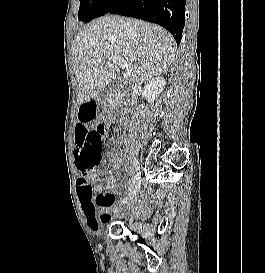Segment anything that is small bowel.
Here are the masks:
<instances>
[{"instance_id":"small-bowel-1","label":"small bowel","mask_w":265,"mask_h":273,"mask_svg":"<svg viewBox=\"0 0 265 273\" xmlns=\"http://www.w3.org/2000/svg\"><path fill=\"white\" fill-rule=\"evenodd\" d=\"M78 110V122L79 123H94L96 114V104L95 103H80ZM74 129H89V124H74ZM77 137V136H76ZM76 143V139H75ZM75 156V166L79 173V177L77 179V189H78V198L81 204L82 211L86 217L88 227L96 231L102 225L107 224L111 216L109 214L110 208L115 206L116 197L112 193H104L102 190L104 188V182L98 178L97 174L90 176V178L94 181L93 189L96 191V195L92 194L86 196L82 194V181L86 179L83 171L79 166V156L77 150L75 148L74 151ZM111 164L114 168H119L121 166V161L118 157H112ZM87 180V179H86Z\"/></svg>"}]
</instances>
